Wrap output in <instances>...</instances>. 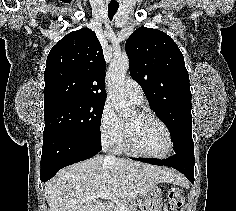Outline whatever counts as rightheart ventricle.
I'll return each instance as SVG.
<instances>
[{"mask_svg": "<svg viewBox=\"0 0 236 211\" xmlns=\"http://www.w3.org/2000/svg\"><path fill=\"white\" fill-rule=\"evenodd\" d=\"M117 148L120 149V150L129 151V150L126 148L125 144H124L123 138L120 140V142H119Z\"/></svg>", "mask_w": 236, "mask_h": 211, "instance_id": "obj_1", "label": "right heart ventricle"}]
</instances>
